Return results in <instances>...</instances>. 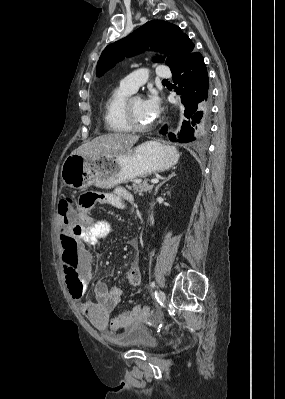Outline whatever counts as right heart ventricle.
I'll list each match as a JSON object with an SVG mask.
<instances>
[{
  "mask_svg": "<svg viewBox=\"0 0 285 399\" xmlns=\"http://www.w3.org/2000/svg\"><path fill=\"white\" fill-rule=\"evenodd\" d=\"M131 92L121 86L116 87L104 104V121L106 128L113 133L130 132L124 113L127 97Z\"/></svg>",
  "mask_w": 285,
  "mask_h": 399,
  "instance_id": "1",
  "label": "right heart ventricle"
}]
</instances>
